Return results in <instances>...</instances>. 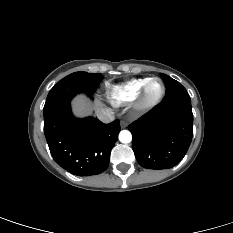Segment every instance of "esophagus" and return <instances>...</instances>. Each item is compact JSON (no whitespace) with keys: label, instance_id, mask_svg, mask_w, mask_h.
Wrapping results in <instances>:
<instances>
[{"label":"esophagus","instance_id":"obj_1","mask_svg":"<svg viewBox=\"0 0 233 233\" xmlns=\"http://www.w3.org/2000/svg\"><path fill=\"white\" fill-rule=\"evenodd\" d=\"M120 125H121V128H126V127H127V122L124 121V120H122V121L120 122Z\"/></svg>","mask_w":233,"mask_h":233}]
</instances>
